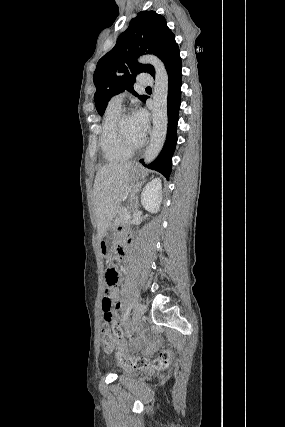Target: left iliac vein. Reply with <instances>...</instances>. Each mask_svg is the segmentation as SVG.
<instances>
[{
  "label": "left iliac vein",
  "mask_w": 285,
  "mask_h": 427,
  "mask_svg": "<svg viewBox=\"0 0 285 427\" xmlns=\"http://www.w3.org/2000/svg\"><path fill=\"white\" fill-rule=\"evenodd\" d=\"M145 312L144 305L142 303H139L133 313L131 325H130V331L128 332V337L130 338L133 335L135 326L139 323V321L142 319Z\"/></svg>",
  "instance_id": "1"
}]
</instances>
